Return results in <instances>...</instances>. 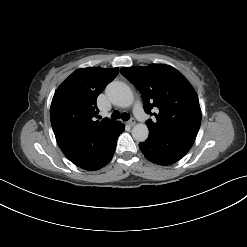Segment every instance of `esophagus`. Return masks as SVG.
<instances>
[{"label": "esophagus", "mask_w": 247, "mask_h": 247, "mask_svg": "<svg viewBox=\"0 0 247 247\" xmlns=\"http://www.w3.org/2000/svg\"><path fill=\"white\" fill-rule=\"evenodd\" d=\"M135 120H134V118H131L129 121H128V124L130 125V126H134L135 125Z\"/></svg>", "instance_id": "1"}]
</instances>
